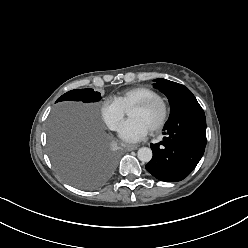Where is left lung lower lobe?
<instances>
[{
    "instance_id": "0a47b994",
    "label": "left lung lower lobe",
    "mask_w": 248,
    "mask_h": 248,
    "mask_svg": "<svg viewBox=\"0 0 248 248\" xmlns=\"http://www.w3.org/2000/svg\"><path fill=\"white\" fill-rule=\"evenodd\" d=\"M163 134V141L150 145L153 157L145 168L159 180L181 181L196 167L206 146V118L196 98L168 119Z\"/></svg>"
}]
</instances>
